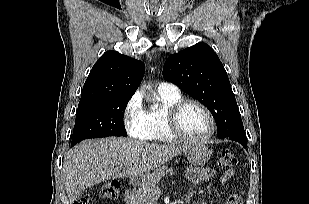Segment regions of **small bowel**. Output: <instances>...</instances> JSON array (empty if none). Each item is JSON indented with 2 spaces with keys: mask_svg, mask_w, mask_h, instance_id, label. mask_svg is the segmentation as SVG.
Masks as SVG:
<instances>
[{
  "mask_svg": "<svg viewBox=\"0 0 309 204\" xmlns=\"http://www.w3.org/2000/svg\"><path fill=\"white\" fill-rule=\"evenodd\" d=\"M218 173L217 171L213 169H208V168H197V169H190L188 171V178L192 182H205L209 180L212 177L217 176ZM236 175V170L234 168L227 169L220 173L219 180L221 183H226L230 181L232 178H234ZM241 199H242V192L240 194H236L231 196L226 204H241Z\"/></svg>",
  "mask_w": 309,
  "mask_h": 204,
  "instance_id": "c3829d8e",
  "label": "small bowel"
}]
</instances>
